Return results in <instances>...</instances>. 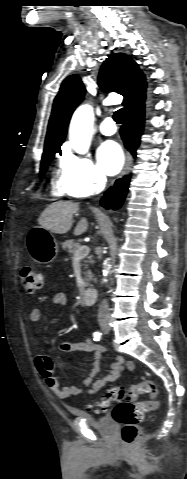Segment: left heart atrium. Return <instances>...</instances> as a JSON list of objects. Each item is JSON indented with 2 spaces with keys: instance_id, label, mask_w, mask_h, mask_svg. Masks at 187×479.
<instances>
[{
  "instance_id": "left-heart-atrium-1",
  "label": "left heart atrium",
  "mask_w": 187,
  "mask_h": 479,
  "mask_svg": "<svg viewBox=\"0 0 187 479\" xmlns=\"http://www.w3.org/2000/svg\"><path fill=\"white\" fill-rule=\"evenodd\" d=\"M97 158L108 175L117 174L124 164L122 149L113 141H106L98 148Z\"/></svg>"
}]
</instances>
